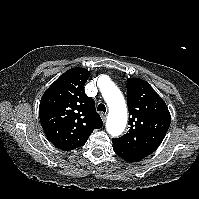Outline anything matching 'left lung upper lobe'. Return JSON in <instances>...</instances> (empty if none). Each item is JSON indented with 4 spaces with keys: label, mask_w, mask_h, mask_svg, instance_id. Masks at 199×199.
I'll return each mask as SVG.
<instances>
[{
    "label": "left lung upper lobe",
    "mask_w": 199,
    "mask_h": 199,
    "mask_svg": "<svg viewBox=\"0 0 199 199\" xmlns=\"http://www.w3.org/2000/svg\"><path fill=\"white\" fill-rule=\"evenodd\" d=\"M127 104L129 130L112 142L147 157L158 148L170 126L168 107L150 84L139 78L127 79Z\"/></svg>",
    "instance_id": "left-lung-upper-lobe-1"
}]
</instances>
